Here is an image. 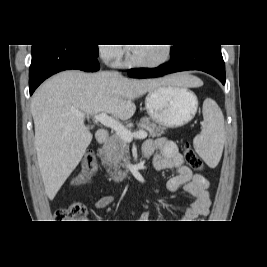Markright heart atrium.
I'll return each mask as SVG.
<instances>
[{
    "mask_svg": "<svg viewBox=\"0 0 267 267\" xmlns=\"http://www.w3.org/2000/svg\"><path fill=\"white\" fill-rule=\"evenodd\" d=\"M99 52L101 57L112 63H117L120 61L124 54V50L121 46L116 45H102L99 46Z\"/></svg>",
    "mask_w": 267,
    "mask_h": 267,
    "instance_id": "right-heart-atrium-1",
    "label": "right heart atrium"
}]
</instances>
